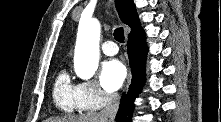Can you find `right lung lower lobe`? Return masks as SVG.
I'll list each match as a JSON object with an SVG mask.
<instances>
[{
	"mask_svg": "<svg viewBox=\"0 0 221 122\" xmlns=\"http://www.w3.org/2000/svg\"><path fill=\"white\" fill-rule=\"evenodd\" d=\"M128 56L132 71V81L128 93L122 95L121 104L116 115L117 122H132L134 100L145 82L144 63L147 54L145 33L142 28L128 36Z\"/></svg>",
	"mask_w": 221,
	"mask_h": 122,
	"instance_id": "1",
	"label": "right lung lower lobe"
}]
</instances>
